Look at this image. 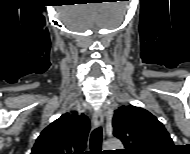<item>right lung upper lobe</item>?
Here are the masks:
<instances>
[{"label": "right lung upper lobe", "mask_w": 190, "mask_h": 154, "mask_svg": "<svg viewBox=\"0 0 190 154\" xmlns=\"http://www.w3.org/2000/svg\"><path fill=\"white\" fill-rule=\"evenodd\" d=\"M89 130L87 116L65 113L41 132L31 154H82Z\"/></svg>", "instance_id": "obj_1"}]
</instances>
